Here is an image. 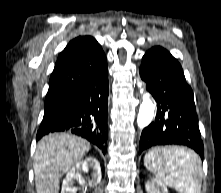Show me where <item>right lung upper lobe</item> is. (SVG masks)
I'll list each match as a JSON object with an SVG mask.
<instances>
[{"instance_id":"obj_1","label":"right lung upper lobe","mask_w":221,"mask_h":193,"mask_svg":"<svg viewBox=\"0 0 221 193\" xmlns=\"http://www.w3.org/2000/svg\"><path fill=\"white\" fill-rule=\"evenodd\" d=\"M106 60L100 44L91 36H79L60 53L49 81L47 101L67 100Z\"/></svg>"}]
</instances>
